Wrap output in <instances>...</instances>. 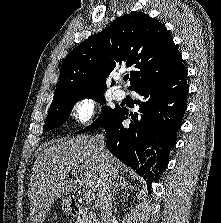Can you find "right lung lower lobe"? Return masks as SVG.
I'll return each mask as SVG.
<instances>
[{
	"instance_id": "right-lung-lower-lobe-1",
	"label": "right lung lower lobe",
	"mask_w": 221,
	"mask_h": 223,
	"mask_svg": "<svg viewBox=\"0 0 221 223\" xmlns=\"http://www.w3.org/2000/svg\"><path fill=\"white\" fill-rule=\"evenodd\" d=\"M186 78L183 67L169 77L135 86L131 90L141 97L136 101L138 112L120 108L103 125L108 150L138 174L148 176V189L149 182L157 181L166 169L169 151L176 144V131L187 108ZM124 119H131L129 126H123Z\"/></svg>"
}]
</instances>
